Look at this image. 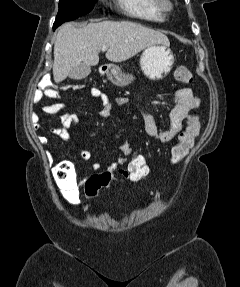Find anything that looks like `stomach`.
Returning <instances> with one entry per match:
<instances>
[{"mask_svg":"<svg viewBox=\"0 0 240 287\" xmlns=\"http://www.w3.org/2000/svg\"><path fill=\"white\" fill-rule=\"evenodd\" d=\"M174 61V55L169 45L153 44L144 49L140 57V66L147 78L158 81L169 74ZM106 74L108 79L118 86H125L133 79L132 75L124 74L116 65L109 66Z\"/></svg>","mask_w":240,"mask_h":287,"instance_id":"0dacf381","label":"stomach"}]
</instances>
